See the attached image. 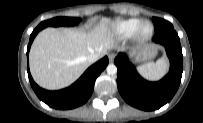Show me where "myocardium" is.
Listing matches in <instances>:
<instances>
[{
	"label": "myocardium",
	"mask_w": 203,
	"mask_h": 123,
	"mask_svg": "<svg viewBox=\"0 0 203 123\" xmlns=\"http://www.w3.org/2000/svg\"><path fill=\"white\" fill-rule=\"evenodd\" d=\"M144 24H149V25L151 26V31H150V33H149L148 35H146V36H143V35L141 34V28H142V26H143ZM153 34H154V26H153L152 22L149 21V20H142V21L137 25V27L135 28V30H134V32H133V34H132V37H133V39H134L135 41H137V42H145V41H148L149 39H151L152 36H153Z\"/></svg>",
	"instance_id": "myocardium-1"
}]
</instances>
